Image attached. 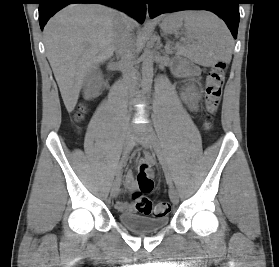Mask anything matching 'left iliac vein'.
I'll return each instance as SVG.
<instances>
[{"label":"left iliac vein","instance_id":"obj_1","mask_svg":"<svg viewBox=\"0 0 279 267\" xmlns=\"http://www.w3.org/2000/svg\"><path fill=\"white\" fill-rule=\"evenodd\" d=\"M135 139L151 149L157 150V148H158L153 133L144 132L143 134L135 137ZM169 196H170V200L173 204H178L179 196H178L176 189L173 186H170Z\"/></svg>","mask_w":279,"mask_h":267}]
</instances>
